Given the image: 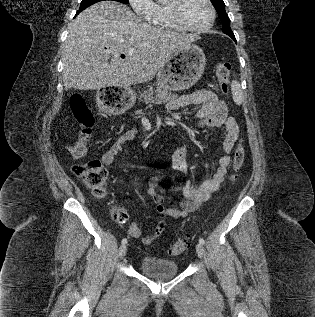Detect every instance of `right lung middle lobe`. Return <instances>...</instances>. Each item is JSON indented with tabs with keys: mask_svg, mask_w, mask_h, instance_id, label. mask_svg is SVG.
I'll return each instance as SVG.
<instances>
[{
	"mask_svg": "<svg viewBox=\"0 0 315 317\" xmlns=\"http://www.w3.org/2000/svg\"><path fill=\"white\" fill-rule=\"evenodd\" d=\"M100 1H104V0H82L81 4H80V8L78 10L77 13L83 11L85 8L89 7L90 5L100 2ZM111 1H117L123 4H129L128 0H111Z\"/></svg>",
	"mask_w": 315,
	"mask_h": 317,
	"instance_id": "obj_1",
	"label": "right lung middle lobe"
}]
</instances>
